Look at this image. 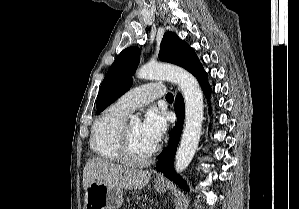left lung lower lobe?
Wrapping results in <instances>:
<instances>
[{
	"label": "left lung lower lobe",
	"mask_w": 299,
	"mask_h": 209,
	"mask_svg": "<svg viewBox=\"0 0 299 209\" xmlns=\"http://www.w3.org/2000/svg\"><path fill=\"white\" fill-rule=\"evenodd\" d=\"M196 76L198 81L200 82L204 94L207 98H209L211 93V88L208 85L207 73L204 71L202 65L200 64L196 70L192 73ZM175 112L177 115V123L174 129L170 132V142L166 150H164L160 157L159 162L156 166V169L162 173H164L170 180L174 181L181 187L187 190L186 185L183 180L177 175L173 168L174 163V155L177 150V145L180 139L181 131L183 128L184 122V102L181 94H177L175 101Z\"/></svg>",
	"instance_id": "1"
}]
</instances>
